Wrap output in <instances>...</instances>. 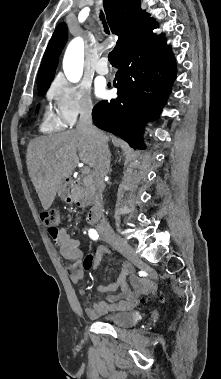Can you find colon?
I'll list each match as a JSON object with an SVG mask.
<instances>
[{
	"instance_id": "colon-1",
	"label": "colon",
	"mask_w": 221,
	"mask_h": 379,
	"mask_svg": "<svg viewBox=\"0 0 221 379\" xmlns=\"http://www.w3.org/2000/svg\"><path fill=\"white\" fill-rule=\"evenodd\" d=\"M41 221L48 228V231L51 235H55L58 231L60 225V216L59 212L55 209H50L41 213ZM157 285L154 282L149 284V289L154 293L156 291ZM146 299H142V302Z\"/></svg>"
}]
</instances>
